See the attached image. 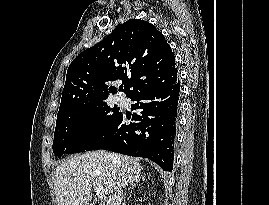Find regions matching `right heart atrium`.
Wrapping results in <instances>:
<instances>
[{"instance_id": "right-heart-atrium-1", "label": "right heart atrium", "mask_w": 269, "mask_h": 205, "mask_svg": "<svg viewBox=\"0 0 269 205\" xmlns=\"http://www.w3.org/2000/svg\"><path fill=\"white\" fill-rule=\"evenodd\" d=\"M101 127V118L98 114L87 115L81 123V131L86 135H91Z\"/></svg>"}]
</instances>
